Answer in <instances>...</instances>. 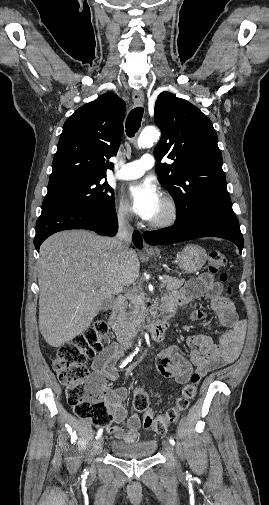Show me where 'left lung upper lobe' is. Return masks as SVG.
<instances>
[{"label": "left lung upper lobe", "instance_id": "5c2ea615", "mask_svg": "<svg viewBox=\"0 0 269 505\" xmlns=\"http://www.w3.org/2000/svg\"><path fill=\"white\" fill-rule=\"evenodd\" d=\"M154 121L162 136L154 149L160 183L177 209L176 223L185 224L213 207H231L222 170L218 138L210 119L190 102L162 92L155 103Z\"/></svg>", "mask_w": 269, "mask_h": 505}]
</instances>
